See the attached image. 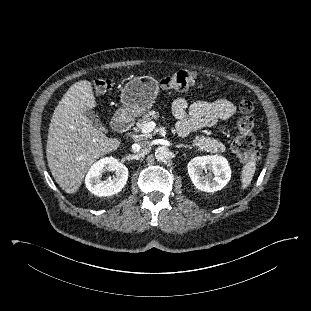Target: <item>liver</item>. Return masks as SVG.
<instances>
[{
	"instance_id": "liver-1",
	"label": "liver",
	"mask_w": 311,
	"mask_h": 311,
	"mask_svg": "<svg viewBox=\"0 0 311 311\" xmlns=\"http://www.w3.org/2000/svg\"><path fill=\"white\" fill-rule=\"evenodd\" d=\"M96 107L92 84L74 83L54 110L49 125L46 155L57 184L68 194L77 192L90 166L116 150L121 141L93 126L84 111Z\"/></svg>"
}]
</instances>
